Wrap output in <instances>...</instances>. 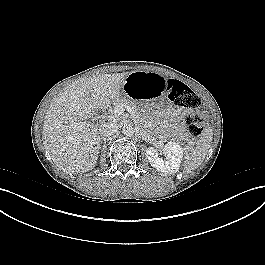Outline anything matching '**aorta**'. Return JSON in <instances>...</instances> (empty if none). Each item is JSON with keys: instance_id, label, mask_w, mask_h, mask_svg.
Returning <instances> with one entry per match:
<instances>
[{"instance_id": "obj_1", "label": "aorta", "mask_w": 265, "mask_h": 265, "mask_svg": "<svg viewBox=\"0 0 265 265\" xmlns=\"http://www.w3.org/2000/svg\"><path fill=\"white\" fill-rule=\"evenodd\" d=\"M122 132H123V134L126 135V136H132V135H134V133H135V129H134V127H133L132 124H130V123H125V124L123 125Z\"/></svg>"}]
</instances>
